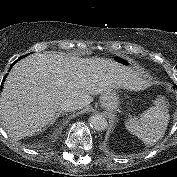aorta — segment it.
<instances>
[{"label": "aorta", "instance_id": "aorta-1", "mask_svg": "<svg viewBox=\"0 0 177 177\" xmlns=\"http://www.w3.org/2000/svg\"><path fill=\"white\" fill-rule=\"evenodd\" d=\"M89 124L93 129L97 131L105 130L108 126L106 118L100 114L91 116L89 118Z\"/></svg>", "mask_w": 177, "mask_h": 177}]
</instances>
